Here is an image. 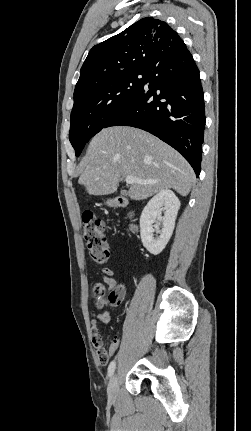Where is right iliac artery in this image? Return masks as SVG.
I'll return each mask as SVG.
<instances>
[{
    "mask_svg": "<svg viewBox=\"0 0 251 431\" xmlns=\"http://www.w3.org/2000/svg\"><path fill=\"white\" fill-rule=\"evenodd\" d=\"M115 361H112L108 366V376L111 377L115 370Z\"/></svg>",
    "mask_w": 251,
    "mask_h": 431,
    "instance_id": "right-iliac-artery-1",
    "label": "right iliac artery"
}]
</instances>
